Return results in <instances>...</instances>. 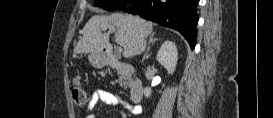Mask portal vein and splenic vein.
<instances>
[{"instance_id":"portal-vein-and-splenic-vein-1","label":"portal vein and splenic vein","mask_w":273,"mask_h":118,"mask_svg":"<svg viewBox=\"0 0 273 118\" xmlns=\"http://www.w3.org/2000/svg\"><path fill=\"white\" fill-rule=\"evenodd\" d=\"M111 32H112V30H111ZM118 51H122V48H121V47H118Z\"/></svg>"}]
</instances>
